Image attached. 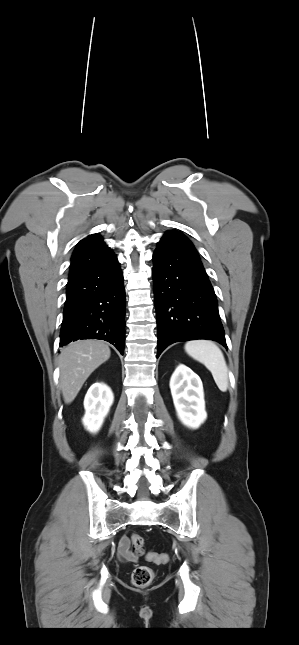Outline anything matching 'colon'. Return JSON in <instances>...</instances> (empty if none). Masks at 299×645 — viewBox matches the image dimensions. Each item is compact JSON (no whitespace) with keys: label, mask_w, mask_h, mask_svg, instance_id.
Wrapping results in <instances>:
<instances>
[{"label":"colon","mask_w":299,"mask_h":645,"mask_svg":"<svg viewBox=\"0 0 299 645\" xmlns=\"http://www.w3.org/2000/svg\"><path fill=\"white\" fill-rule=\"evenodd\" d=\"M131 543L135 555L140 556L144 553V539L138 534L131 536ZM147 559L154 563H166L168 555L165 553L151 552L147 555ZM154 578V572L147 566L136 567L131 575V582L134 586L144 588L150 585Z\"/></svg>","instance_id":"obj_1"}]
</instances>
